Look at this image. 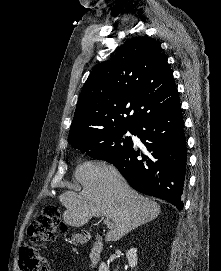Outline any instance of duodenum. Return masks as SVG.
<instances>
[{
	"label": "duodenum",
	"mask_w": 221,
	"mask_h": 271,
	"mask_svg": "<svg viewBox=\"0 0 221 271\" xmlns=\"http://www.w3.org/2000/svg\"><path fill=\"white\" fill-rule=\"evenodd\" d=\"M103 243L101 241H95L91 246L89 252V263L92 268L98 266L101 261L102 253H103Z\"/></svg>",
	"instance_id": "obj_1"
}]
</instances>
